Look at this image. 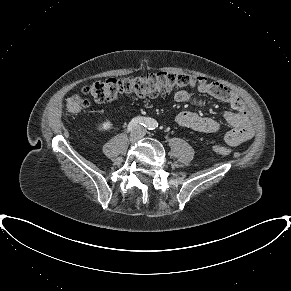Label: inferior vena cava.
Returning a JSON list of instances; mask_svg holds the SVG:
<instances>
[{"label": "inferior vena cava", "mask_w": 291, "mask_h": 291, "mask_svg": "<svg viewBox=\"0 0 291 291\" xmlns=\"http://www.w3.org/2000/svg\"><path fill=\"white\" fill-rule=\"evenodd\" d=\"M137 130H138V133H135V136L138 138H142L145 134L144 129H142V128H140V126H138Z\"/></svg>", "instance_id": "inferior-vena-cava-1"}]
</instances>
